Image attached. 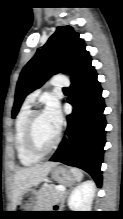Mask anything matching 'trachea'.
Segmentation results:
<instances>
[{
	"mask_svg": "<svg viewBox=\"0 0 123 219\" xmlns=\"http://www.w3.org/2000/svg\"><path fill=\"white\" fill-rule=\"evenodd\" d=\"M64 90H68V88H64Z\"/></svg>",
	"mask_w": 123,
	"mask_h": 219,
	"instance_id": "trachea-1",
	"label": "trachea"
}]
</instances>
